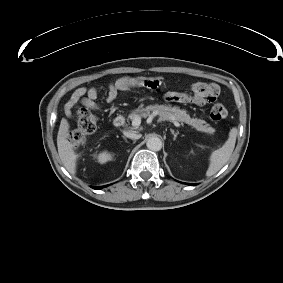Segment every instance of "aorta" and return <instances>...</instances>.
<instances>
[{"instance_id":"aorta-1","label":"aorta","mask_w":283,"mask_h":283,"mask_svg":"<svg viewBox=\"0 0 283 283\" xmlns=\"http://www.w3.org/2000/svg\"><path fill=\"white\" fill-rule=\"evenodd\" d=\"M146 146L149 150L159 151L162 148V141L157 136H150L147 139Z\"/></svg>"}]
</instances>
